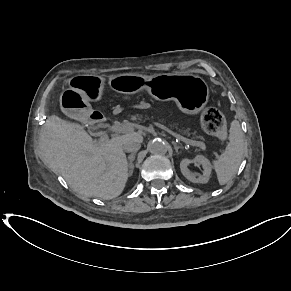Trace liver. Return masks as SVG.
Segmentation results:
<instances>
[{"label":"liver","instance_id":"1","mask_svg":"<svg viewBox=\"0 0 291 291\" xmlns=\"http://www.w3.org/2000/svg\"><path fill=\"white\" fill-rule=\"evenodd\" d=\"M142 142L139 132L94 141L77 124L57 116L46 120L39 149L67 183L79 194L110 200L124 190L129 173L123 144Z\"/></svg>","mask_w":291,"mask_h":291}]
</instances>
